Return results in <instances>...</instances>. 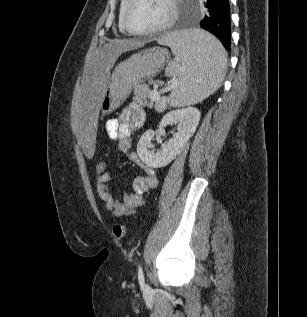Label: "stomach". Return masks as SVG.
<instances>
[{"instance_id": "stomach-1", "label": "stomach", "mask_w": 307, "mask_h": 317, "mask_svg": "<svg viewBox=\"0 0 307 317\" xmlns=\"http://www.w3.org/2000/svg\"><path fill=\"white\" fill-rule=\"evenodd\" d=\"M168 59L169 53L166 49L153 47L135 53L119 63L101 101L103 114L114 111L135 86L149 77L156 76Z\"/></svg>"}]
</instances>
